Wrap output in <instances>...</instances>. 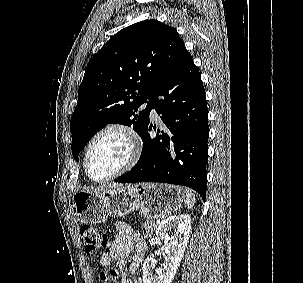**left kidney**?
Segmentation results:
<instances>
[{
  "label": "left kidney",
  "instance_id": "obj_1",
  "mask_svg": "<svg viewBox=\"0 0 303 283\" xmlns=\"http://www.w3.org/2000/svg\"><path fill=\"white\" fill-rule=\"evenodd\" d=\"M174 232L169 237L168 232ZM191 232V219L187 214L173 216L162 221L156 230V243L164 242L165 261L162 268H155L156 260L148 257L143 264L144 283H171L183 258Z\"/></svg>",
  "mask_w": 303,
  "mask_h": 283
}]
</instances>
